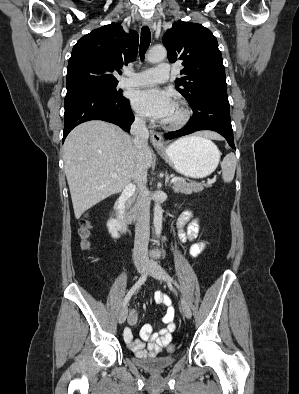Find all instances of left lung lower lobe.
<instances>
[{
    "instance_id": "0a47b994",
    "label": "left lung lower lobe",
    "mask_w": 299,
    "mask_h": 394,
    "mask_svg": "<svg viewBox=\"0 0 299 394\" xmlns=\"http://www.w3.org/2000/svg\"><path fill=\"white\" fill-rule=\"evenodd\" d=\"M193 116L185 127L165 134L166 139H174L198 130H213L226 138L235 149L230 119V105L227 90H209L190 104Z\"/></svg>"
}]
</instances>
